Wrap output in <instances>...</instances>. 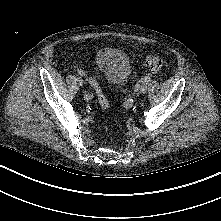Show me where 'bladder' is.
<instances>
[{
	"mask_svg": "<svg viewBox=\"0 0 221 221\" xmlns=\"http://www.w3.org/2000/svg\"><path fill=\"white\" fill-rule=\"evenodd\" d=\"M96 65L106 84L118 88L127 80L130 73L128 56L116 48H104L96 54Z\"/></svg>",
	"mask_w": 221,
	"mask_h": 221,
	"instance_id": "obj_1",
	"label": "bladder"
}]
</instances>
